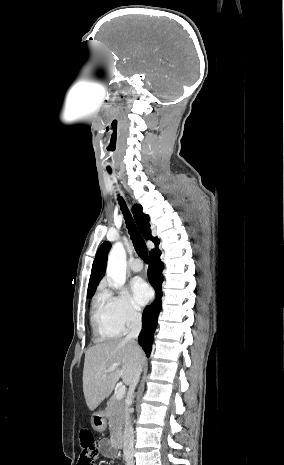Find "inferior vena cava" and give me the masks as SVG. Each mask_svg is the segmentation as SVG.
I'll list each match as a JSON object with an SVG mask.
<instances>
[{
	"mask_svg": "<svg viewBox=\"0 0 284 465\" xmlns=\"http://www.w3.org/2000/svg\"><path fill=\"white\" fill-rule=\"evenodd\" d=\"M142 323H141V315L140 313H132L131 315V323H130V333L126 337V341H132V339H138V335L141 331ZM141 367L137 369L134 379L129 387L128 395H127V403L125 405V413H124V421H125V429L123 435V457L124 461H126L127 465H134V431L131 423L130 417V405L132 403L134 391L139 383L140 375H141Z\"/></svg>",
	"mask_w": 284,
	"mask_h": 465,
	"instance_id": "602c4592",
	"label": "inferior vena cava"
}]
</instances>
